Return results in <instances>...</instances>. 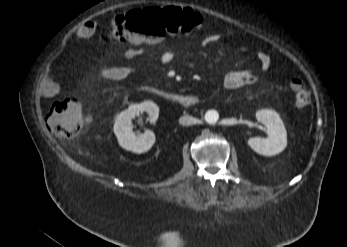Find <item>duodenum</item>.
<instances>
[{
    "instance_id": "410a0bca",
    "label": "duodenum",
    "mask_w": 347,
    "mask_h": 247,
    "mask_svg": "<svg viewBox=\"0 0 347 247\" xmlns=\"http://www.w3.org/2000/svg\"><path fill=\"white\" fill-rule=\"evenodd\" d=\"M156 94L164 99H167L177 105L186 108L193 107L199 103V97L192 94H177L161 90Z\"/></svg>"
}]
</instances>
